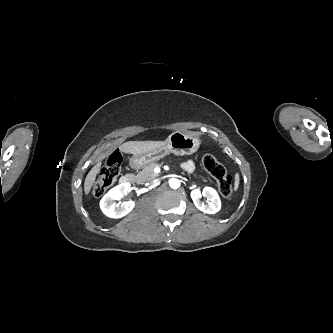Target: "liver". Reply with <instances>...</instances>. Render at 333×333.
I'll return each instance as SVG.
<instances>
[{"label": "liver", "instance_id": "1", "mask_svg": "<svg viewBox=\"0 0 333 333\" xmlns=\"http://www.w3.org/2000/svg\"><path fill=\"white\" fill-rule=\"evenodd\" d=\"M165 144L166 143L164 141H129L120 145L119 150L123 153L137 155L156 150L165 146ZM100 167L101 163L99 162L87 174L84 182L85 194H89L95 182L97 173L100 171Z\"/></svg>", "mask_w": 333, "mask_h": 333}]
</instances>
